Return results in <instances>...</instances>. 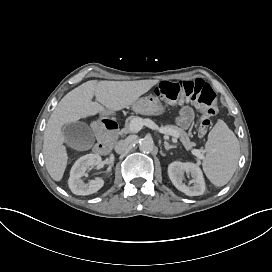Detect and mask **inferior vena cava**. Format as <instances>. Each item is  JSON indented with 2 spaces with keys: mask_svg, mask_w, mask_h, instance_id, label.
Masks as SVG:
<instances>
[{
  "mask_svg": "<svg viewBox=\"0 0 272 272\" xmlns=\"http://www.w3.org/2000/svg\"><path fill=\"white\" fill-rule=\"evenodd\" d=\"M128 143L125 140H120L115 144V152L122 154L128 150Z\"/></svg>",
  "mask_w": 272,
  "mask_h": 272,
  "instance_id": "602c4592",
  "label": "inferior vena cava"
}]
</instances>
